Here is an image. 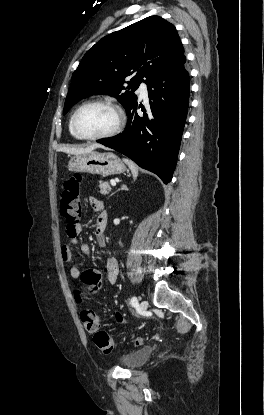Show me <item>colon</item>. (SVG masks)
<instances>
[{
	"label": "colon",
	"instance_id": "5ec220e1",
	"mask_svg": "<svg viewBox=\"0 0 264 415\" xmlns=\"http://www.w3.org/2000/svg\"><path fill=\"white\" fill-rule=\"evenodd\" d=\"M82 176L75 173L64 182V190L61 196L60 213L65 221V233L69 237L76 235L78 221L81 214V201L79 198ZM82 287L74 290L75 300L78 304L85 303L92 290L100 287L102 276L99 271L90 269L84 271L80 276ZM86 330L94 334V341L98 348L105 354H111L115 350L112 337L100 329V322L97 314L90 309L82 312ZM140 343V341H138Z\"/></svg>",
	"mask_w": 264,
	"mask_h": 415
}]
</instances>
